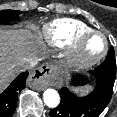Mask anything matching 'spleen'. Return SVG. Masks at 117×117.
Listing matches in <instances>:
<instances>
[{
  "mask_svg": "<svg viewBox=\"0 0 117 117\" xmlns=\"http://www.w3.org/2000/svg\"><path fill=\"white\" fill-rule=\"evenodd\" d=\"M92 89V86L90 85H85L82 87H78L77 89H75V91L79 94H87L90 92V90Z\"/></svg>",
  "mask_w": 117,
  "mask_h": 117,
  "instance_id": "spleen-1",
  "label": "spleen"
}]
</instances>
